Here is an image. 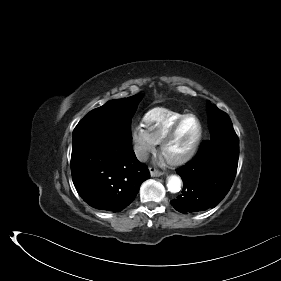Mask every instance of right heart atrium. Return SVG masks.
<instances>
[{"label": "right heart atrium", "instance_id": "right-heart-atrium-1", "mask_svg": "<svg viewBox=\"0 0 281 281\" xmlns=\"http://www.w3.org/2000/svg\"><path fill=\"white\" fill-rule=\"evenodd\" d=\"M132 140L134 151L139 160H145L151 153L156 143L150 138L143 125H135L132 128Z\"/></svg>", "mask_w": 281, "mask_h": 281}]
</instances>
